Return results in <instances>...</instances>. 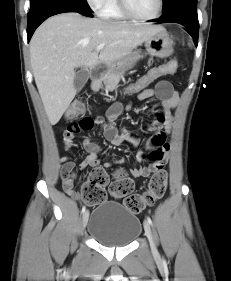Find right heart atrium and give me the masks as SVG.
Here are the masks:
<instances>
[{
	"instance_id": "obj_1",
	"label": "right heart atrium",
	"mask_w": 231,
	"mask_h": 281,
	"mask_svg": "<svg viewBox=\"0 0 231 281\" xmlns=\"http://www.w3.org/2000/svg\"><path fill=\"white\" fill-rule=\"evenodd\" d=\"M88 6L95 12L101 13L109 0H85Z\"/></svg>"
}]
</instances>
